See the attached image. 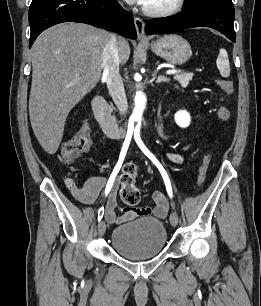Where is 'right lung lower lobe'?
<instances>
[{
  "label": "right lung lower lobe",
  "mask_w": 261,
  "mask_h": 306,
  "mask_svg": "<svg viewBox=\"0 0 261 306\" xmlns=\"http://www.w3.org/2000/svg\"><path fill=\"white\" fill-rule=\"evenodd\" d=\"M69 21L117 30L128 38H136L132 15L124 11L116 0H32L29 48L42 31Z\"/></svg>",
  "instance_id": "right-lung-lower-lobe-1"
}]
</instances>
